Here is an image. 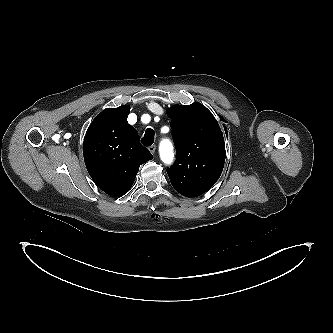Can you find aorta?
Returning <instances> with one entry per match:
<instances>
[{"label": "aorta", "instance_id": "762f6f07", "mask_svg": "<svg viewBox=\"0 0 333 333\" xmlns=\"http://www.w3.org/2000/svg\"><path fill=\"white\" fill-rule=\"evenodd\" d=\"M173 147L169 140H163L160 144V156L164 163H170L173 160Z\"/></svg>", "mask_w": 333, "mask_h": 333}]
</instances>
